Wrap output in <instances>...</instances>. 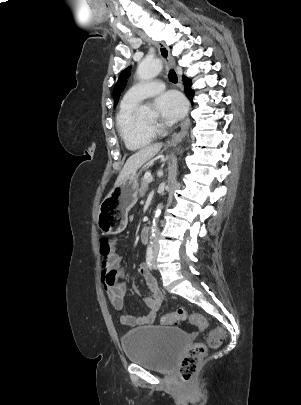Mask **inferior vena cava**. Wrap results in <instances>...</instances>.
Masks as SVG:
<instances>
[{"label": "inferior vena cava", "mask_w": 301, "mask_h": 405, "mask_svg": "<svg viewBox=\"0 0 301 405\" xmlns=\"http://www.w3.org/2000/svg\"><path fill=\"white\" fill-rule=\"evenodd\" d=\"M153 251H154V253L158 252V243H157V238L156 237L154 239Z\"/></svg>", "instance_id": "602c4592"}]
</instances>
